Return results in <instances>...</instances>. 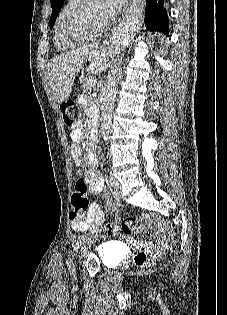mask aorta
Here are the masks:
<instances>
[{
    "label": "aorta",
    "mask_w": 227,
    "mask_h": 315,
    "mask_svg": "<svg viewBox=\"0 0 227 315\" xmlns=\"http://www.w3.org/2000/svg\"><path fill=\"white\" fill-rule=\"evenodd\" d=\"M132 35L133 28L130 25L125 24L120 26L111 37V49L113 51H119L130 41ZM117 83L118 81L116 76H112L106 84L105 99L101 107L100 128V132L104 140H107L111 129Z\"/></svg>",
    "instance_id": "aorta-1"
}]
</instances>
